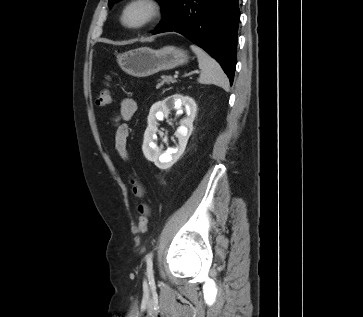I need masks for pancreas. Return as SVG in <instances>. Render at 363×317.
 <instances>
[{
	"label": "pancreas",
	"mask_w": 363,
	"mask_h": 317,
	"mask_svg": "<svg viewBox=\"0 0 363 317\" xmlns=\"http://www.w3.org/2000/svg\"><path fill=\"white\" fill-rule=\"evenodd\" d=\"M174 82H175V80L172 77H170V76H162V80L159 83V85H163L164 83L169 84V83H174Z\"/></svg>",
	"instance_id": "1"
}]
</instances>
